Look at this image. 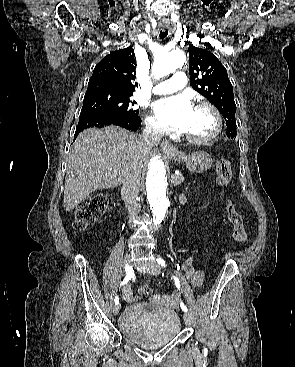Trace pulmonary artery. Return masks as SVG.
<instances>
[{
  "label": "pulmonary artery",
  "mask_w": 295,
  "mask_h": 367,
  "mask_svg": "<svg viewBox=\"0 0 295 367\" xmlns=\"http://www.w3.org/2000/svg\"><path fill=\"white\" fill-rule=\"evenodd\" d=\"M187 76L183 71H176L172 78L158 83L154 89V94H168L178 91L186 86Z\"/></svg>",
  "instance_id": "pulmonary-artery-1"
}]
</instances>
